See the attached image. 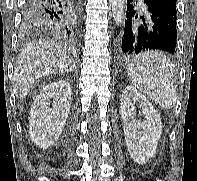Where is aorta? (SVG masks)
I'll list each match as a JSON object with an SVG mask.
<instances>
[{
  "label": "aorta",
  "mask_w": 197,
  "mask_h": 181,
  "mask_svg": "<svg viewBox=\"0 0 197 181\" xmlns=\"http://www.w3.org/2000/svg\"><path fill=\"white\" fill-rule=\"evenodd\" d=\"M124 2L125 0H109L112 17L116 21V24L121 23L124 13Z\"/></svg>",
  "instance_id": "762f6f07"
}]
</instances>
